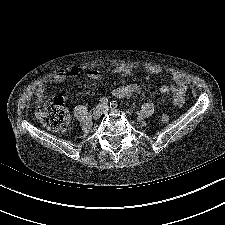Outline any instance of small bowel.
Returning <instances> with one entry per match:
<instances>
[{
    "label": "small bowel",
    "instance_id": "small-bowel-1",
    "mask_svg": "<svg viewBox=\"0 0 225 225\" xmlns=\"http://www.w3.org/2000/svg\"><path fill=\"white\" fill-rule=\"evenodd\" d=\"M82 72L80 67H72L68 70L60 69L57 70L53 75V80L57 83L65 81L68 75L78 76ZM115 74L120 76H129L132 74V69L127 65H120L114 69ZM153 73H157V70H153ZM88 77L91 80H98L101 74L98 70H91L88 72ZM176 85L174 86H161V93H172L174 95L173 102L176 106H182L185 101L186 86L181 77L176 76L174 78ZM136 84H127L119 86L113 90V94L119 98H126L138 91ZM46 86L44 83L38 85L35 91L36 100L38 103H42L45 97Z\"/></svg>",
    "mask_w": 225,
    "mask_h": 225
}]
</instances>
